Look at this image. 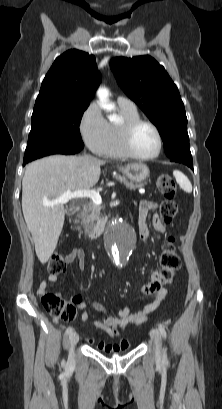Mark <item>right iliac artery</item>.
<instances>
[{"label": "right iliac artery", "mask_w": 222, "mask_h": 409, "mask_svg": "<svg viewBox=\"0 0 222 409\" xmlns=\"http://www.w3.org/2000/svg\"><path fill=\"white\" fill-rule=\"evenodd\" d=\"M72 331H73V328H72V327H68V328L66 329V334H70Z\"/></svg>", "instance_id": "right-iliac-artery-1"}]
</instances>
